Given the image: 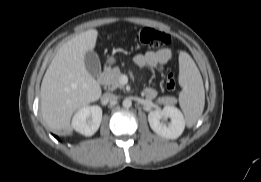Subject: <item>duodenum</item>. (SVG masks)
<instances>
[{
  "label": "duodenum",
  "mask_w": 261,
  "mask_h": 182,
  "mask_svg": "<svg viewBox=\"0 0 261 182\" xmlns=\"http://www.w3.org/2000/svg\"><path fill=\"white\" fill-rule=\"evenodd\" d=\"M103 81H104V76H103V75H100L99 78H98V82H99L100 84H102Z\"/></svg>",
  "instance_id": "1"
}]
</instances>
